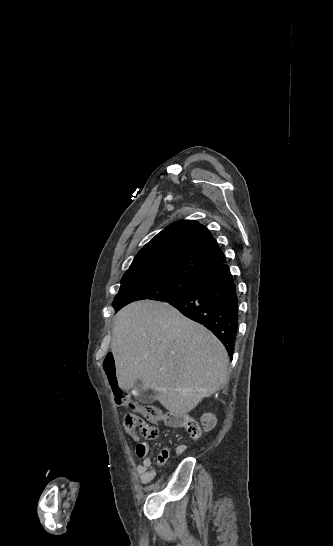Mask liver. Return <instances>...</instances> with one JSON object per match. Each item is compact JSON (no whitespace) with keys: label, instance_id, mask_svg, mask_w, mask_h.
Instances as JSON below:
<instances>
[{"label":"liver","instance_id":"1","mask_svg":"<svg viewBox=\"0 0 333 546\" xmlns=\"http://www.w3.org/2000/svg\"><path fill=\"white\" fill-rule=\"evenodd\" d=\"M111 351L118 386L156 391L171 415H187L228 380V354L204 326L159 301H138L114 318Z\"/></svg>","mask_w":333,"mask_h":546}]
</instances>
